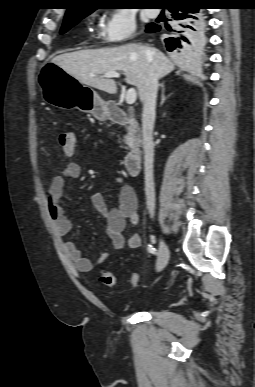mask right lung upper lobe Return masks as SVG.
Returning <instances> with one entry per match:
<instances>
[{
    "label": "right lung upper lobe",
    "instance_id": "1",
    "mask_svg": "<svg viewBox=\"0 0 255 387\" xmlns=\"http://www.w3.org/2000/svg\"><path fill=\"white\" fill-rule=\"evenodd\" d=\"M75 6L69 7L67 9V14H80L88 11H94L93 3L89 2L91 0H75ZM176 1V0H171Z\"/></svg>",
    "mask_w": 255,
    "mask_h": 387
}]
</instances>
